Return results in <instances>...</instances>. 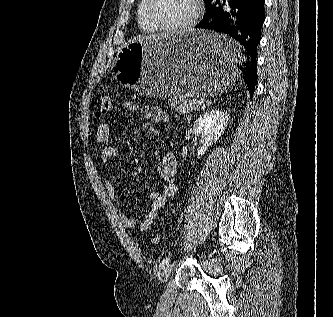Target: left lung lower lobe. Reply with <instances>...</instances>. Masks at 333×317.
<instances>
[{
    "mask_svg": "<svg viewBox=\"0 0 333 317\" xmlns=\"http://www.w3.org/2000/svg\"><path fill=\"white\" fill-rule=\"evenodd\" d=\"M264 3L265 0H211L203 19L196 25V28L227 34L244 47V56L235 44L213 47L209 51L237 66L251 98L257 79V47L265 21Z\"/></svg>",
    "mask_w": 333,
    "mask_h": 317,
    "instance_id": "obj_1",
    "label": "left lung lower lobe"
}]
</instances>
